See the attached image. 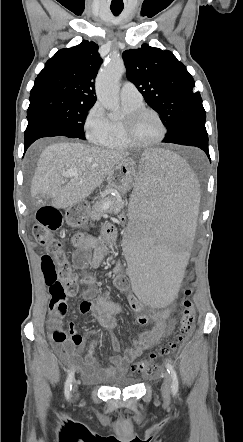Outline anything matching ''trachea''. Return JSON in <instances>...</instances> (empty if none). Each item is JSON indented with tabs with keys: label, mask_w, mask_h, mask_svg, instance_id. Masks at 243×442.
Listing matches in <instances>:
<instances>
[{
	"label": "trachea",
	"mask_w": 243,
	"mask_h": 442,
	"mask_svg": "<svg viewBox=\"0 0 243 442\" xmlns=\"http://www.w3.org/2000/svg\"><path fill=\"white\" fill-rule=\"evenodd\" d=\"M123 8L124 6H111V11L115 16H117L122 12Z\"/></svg>",
	"instance_id": "obj_1"
}]
</instances>
